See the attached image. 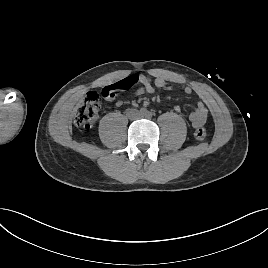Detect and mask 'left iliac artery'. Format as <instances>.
<instances>
[{
	"mask_svg": "<svg viewBox=\"0 0 268 268\" xmlns=\"http://www.w3.org/2000/svg\"><path fill=\"white\" fill-rule=\"evenodd\" d=\"M146 116H147L148 118H151V117L153 116V113H152V112H148V113L146 114Z\"/></svg>",
	"mask_w": 268,
	"mask_h": 268,
	"instance_id": "obj_1",
	"label": "left iliac artery"
}]
</instances>
